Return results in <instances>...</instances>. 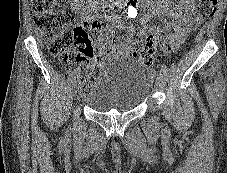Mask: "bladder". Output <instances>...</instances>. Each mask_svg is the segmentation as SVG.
<instances>
[{
  "mask_svg": "<svg viewBox=\"0 0 227 173\" xmlns=\"http://www.w3.org/2000/svg\"><path fill=\"white\" fill-rule=\"evenodd\" d=\"M145 91L144 67L127 57L111 61L101 69L85 102L100 113H126L142 102Z\"/></svg>",
  "mask_w": 227,
  "mask_h": 173,
  "instance_id": "obj_1",
  "label": "bladder"
}]
</instances>
